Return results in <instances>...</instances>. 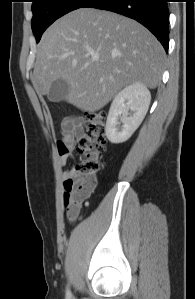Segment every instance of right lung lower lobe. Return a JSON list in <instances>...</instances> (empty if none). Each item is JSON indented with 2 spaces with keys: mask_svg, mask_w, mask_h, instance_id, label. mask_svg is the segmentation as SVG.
<instances>
[{
  "mask_svg": "<svg viewBox=\"0 0 195 299\" xmlns=\"http://www.w3.org/2000/svg\"><path fill=\"white\" fill-rule=\"evenodd\" d=\"M168 0H89L82 7L116 12L132 18L149 29L168 50Z\"/></svg>",
  "mask_w": 195,
  "mask_h": 299,
  "instance_id": "obj_1",
  "label": "right lung lower lobe"
}]
</instances>
